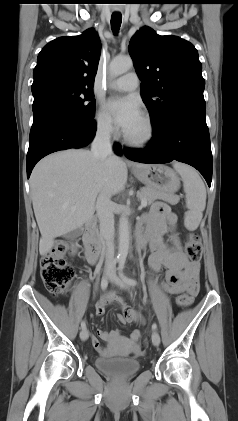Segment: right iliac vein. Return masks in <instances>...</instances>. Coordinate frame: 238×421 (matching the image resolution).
<instances>
[{"mask_svg":"<svg viewBox=\"0 0 238 421\" xmlns=\"http://www.w3.org/2000/svg\"><path fill=\"white\" fill-rule=\"evenodd\" d=\"M88 337H89L88 330L86 328L85 329H82L81 332H80V338H81V340L86 341L88 339Z\"/></svg>","mask_w":238,"mask_h":421,"instance_id":"63e3f726","label":"right iliac vein"}]
</instances>
